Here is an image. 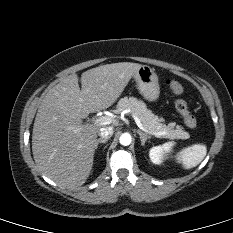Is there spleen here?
Wrapping results in <instances>:
<instances>
[{
  "instance_id": "spleen-1",
  "label": "spleen",
  "mask_w": 233,
  "mask_h": 233,
  "mask_svg": "<svg viewBox=\"0 0 233 233\" xmlns=\"http://www.w3.org/2000/svg\"><path fill=\"white\" fill-rule=\"evenodd\" d=\"M207 148L203 144H194L181 150L177 155V160L182 163L184 169L196 167L206 156Z\"/></svg>"
}]
</instances>
